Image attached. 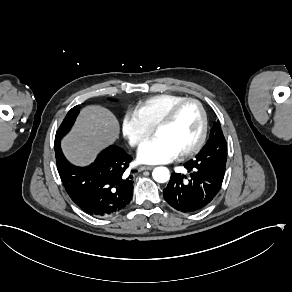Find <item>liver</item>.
I'll return each mask as SVG.
<instances>
[{"mask_svg": "<svg viewBox=\"0 0 292 292\" xmlns=\"http://www.w3.org/2000/svg\"><path fill=\"white\" fill-rule=\"evenodd\" d=\"M118 132V122L108 110L86 107L74 132L64 141V150L73 162L87 164L98 149L117 138Z\"/></svg>", "mask_w": 292, "mask_h": 292, "instance_id": "1", "label": "liver"}]
</instances>
